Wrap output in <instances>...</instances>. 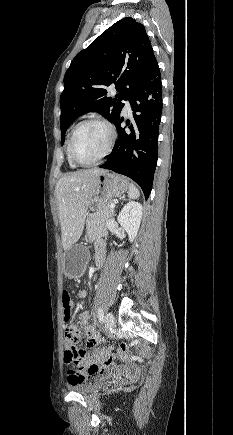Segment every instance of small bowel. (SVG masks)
Returning a JSON list of instances; mask_svg holds the SVG:
<instances>
[{"instance_id": "obj_1", "label": "small bowel", "mask_w": 233, "mask_h": 435, "mask_svg": "<svg viewBox=\"0 0 233 435\" xmlns=\"http://www.w3.org/2000/svg\"><path fill=\"white\" fill-rule=\"evenodd\" d=\"M95 266L99 268L102 266L105 260V246L102 243H99L95 249ZM81 298L86 297V292L81 291L79 293ZM73 307V305H72ZM90 313L86 312L77 318V322L83 325V332L87 342V348L81 349L83 353V359L81 360L78 366H68L67 374L68 380L71 382H78L81 380H90L99 376L109 375L110 373H125L132 374L137 373L138 369L131 365L129 360H126L123 364H118L114 362L113 358L105 356L103 359L102 366L98 372H88L87 368L93 359V354L90 352V349L96 347L102 342L101 335L99 331L91 325H87V321L89 319ZM67 346V343H66Z\"/></svg>"}]
</instances>
